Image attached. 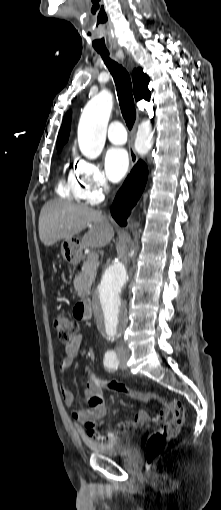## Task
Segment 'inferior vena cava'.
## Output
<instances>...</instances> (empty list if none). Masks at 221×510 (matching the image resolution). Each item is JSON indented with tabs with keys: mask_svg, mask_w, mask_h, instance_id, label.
<instances>
[{
	"mask_svg": "<svg viewBox=\"0 0 221 510\" xmlns=\"http://www.w3.org/2000/svg\"><path fill=\"white\" fill-rule=\"evenodd\" d=\"M105 191H106V193H108V191H109V187H106V188H105ZM118 350L122 351V350H123V346L121 345V346L118 348Z\"/></svg>",
	"mask_w": 221,
	"mask_h": 510,
	"instance_id": "602c4592",
	"label": "inferior vena cava"
}]
</instances>
